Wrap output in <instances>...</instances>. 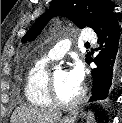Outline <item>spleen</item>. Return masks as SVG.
Returning <instances> with one entry per match:
<instances>
[{
	"instance_id": "spleen-1",
	"label": "spleen",
	"mask_w": 122,
	"mask_h": 123,
	"mask_svg": "<svg viewBox=\"0 0 122 123\" xmlns=\"http://www.w3.org/2000/svg\"><path fill=\"white\" fill-rule=\"evenodd\" d=\"M94 121V114L92 112H89L87 116V123H94Z\"/></svg>"
}]
</instances>
